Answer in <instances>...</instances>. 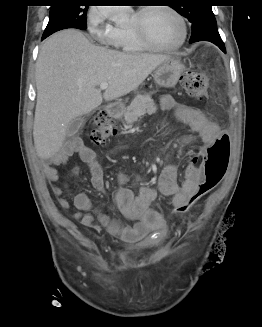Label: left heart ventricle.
I'll return each instance as SVG.
<instances>
[{
    "mask_svg": "<svg viewBox=\"0 0 262 327\" xmlns=\"http://www.w3.org/2000/svg\"><path fill=\"white\" fill-rule=\"evenodd\" d=\"M136 22L135 13L130 20V26ZM142 23L151 39L160 45H173L177 43L182 34L178 19L165 9H153L143 16Z\"/></svg>",
    "mask_w": 262,
    "mask_h": 327,
    "instance_id": "b2bd125f",
    "label": "left heart ventricle"
}]
</instances>
